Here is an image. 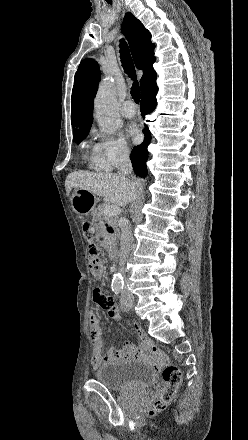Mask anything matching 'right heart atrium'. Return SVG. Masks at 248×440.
I'll return each mask as SVG.
<instances>
[{"label":"right heart atrium","mask_w":248,"mask_h":440,"mask_svg":"<svg viewBox=\"0 0 248 440\" xmlns=\"http://www.w3.org/2000/svg\"><path fill=\"white\" fill-rule=\"evenodd\" d=\"M98 142L93 147L94 160L102 170H112L119 167L130 156V147L119 135L96 132Z\"/></svg>","instance_id":"obj_1"}]
</instances>
